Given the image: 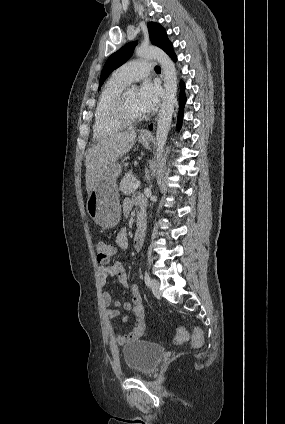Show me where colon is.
Instances as JSON below:
<instances>
[{"label": "colon", "instance_id": "5ec220e1", "mask_svg": "<svg viewBox=\"0 0 285 424\" xmlns=\"http://www.w3.org/2000/svg\"><path fill=\"white\" fill-rule=\"evenodd\" d=\"M95 251L97 260L101 264H106L114 254V247L105 241L98 240L95 243ZM188 339V334L184 329H179L176 333L175 340L178 342ZM205 339L204 331L200 327H195L193 331L192 340L195 346L199 347L203 344Z\"/></svg>", "mask_w": 285, "mask_h": 424}]
</instances>
